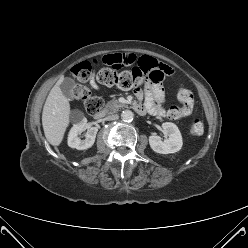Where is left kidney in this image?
Listing matches in <instances>:
<instances>
[{"label": "left kidney", "instance_id": "left-kidney-1", "mask_svg": "<svg viewBox=\"0 0 248 248\" xmlns=\"http://www.w3.org/2000/svg\"><path fill=\"white\" fill-rule=\"evenodd\" d=\"M164 132L168 135L163 141L159 136L152 135L149 137V144L152 150L160 154H169L178 152L183 145L182 136L178 127L171 122L162 124Z\"/></svg>", "mask_w": 248, "mask_h": 248}]
</instances>
